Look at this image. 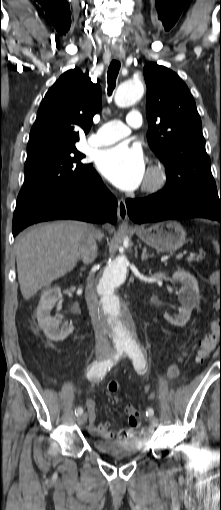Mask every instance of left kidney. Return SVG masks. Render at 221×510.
Here are the masks:
<instances>
[{
    "instance_id": "left-kidney-1",
    "label": "left kidney",
    "mask_w": 221,
    "mask_h": 510,
    "mask_svg": "<svg viewBox=\"0 0 221 510\" xmlns=\"http://www.w3.org/2000/svg\"><path fill=\"white\" fill-rule=\"evenodd\" d=\"M172 278L173 281L183 284L178 294L181 306L178 308V316L171 317L165 313L164 318L174 326H184L189 321L192 310L200 300L198 282L193 275L182 269L175 271Z\"/></svg>"
}]
</instances>
